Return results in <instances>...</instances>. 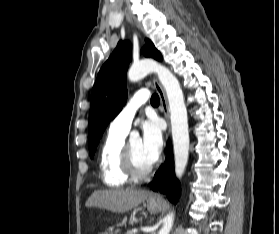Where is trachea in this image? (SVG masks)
<instances>
[{
	"label": "trachea",
	"instance_id": "obj_1",
	"mask_svg": "<svg viewBox=\"0 0 279 234\" xmlns=\"http://www.w3.org/2000/svg\"><path fill=\"white\" fill-rule=\"evenodd\" d=\"M150 102L152 105H158L160 103L159 96L156 93H154L151 97Z\"/></svg>",
	"mask_w": 279,
	"mask_h": 234
}]
</instances>
